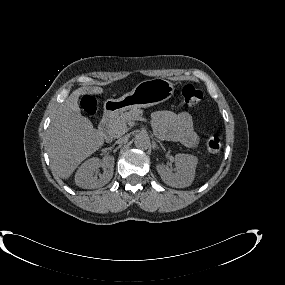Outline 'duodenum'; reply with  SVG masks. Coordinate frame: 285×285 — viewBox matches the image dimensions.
<instances>
[{"label": "duodenum", "mask_w": 285, "mask_h": 285, "mask_svg": "<svg viewBox=\"0 0 285 285\" xmlns=\"http://www.w3.org/2000/svg\"><path fill=\"white\" fill-rule=\"evenodd\" d=\"M112 119V115L110 112L103 113L100 123H99V131L101 133V136L107 140L110 138L109 134V128H110V122Z\"/></svg>", "instance_id": "obj_1"}]
</instances>
